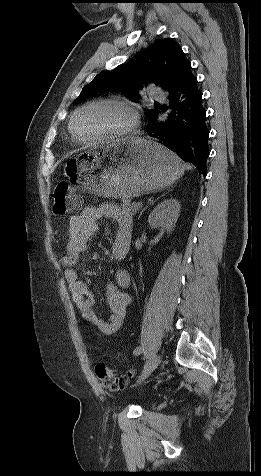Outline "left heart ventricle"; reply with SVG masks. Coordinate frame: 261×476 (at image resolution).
Returning a JSON list of instances; mask_svg holds the SVG:
<instances>
[{"label":"left heart ventricle","instance_id":"obj_1","mask_svg":"<svg viewBox=\"0 0 261 476\" xmlns=\"http://www.w3.org/2000/svg\"><path fill=\"white\" fill-rule=\"evenodd\" d=\"M128 112L118 106L99 104L82 111L75 121L77 137L92 140L117 131L129 122Z\"/></svg>","mask_w":261,"mask_h":476}]
</instances>
